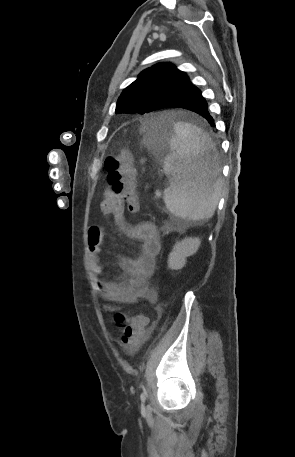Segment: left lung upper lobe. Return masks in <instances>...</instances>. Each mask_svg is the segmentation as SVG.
Wrapping results in <instances>:
<instances>
[{"mask_svg": "<svg viewBox=\"0 0 295 457\" xmlns=\"http://www.w3.org/2000/svg\"><path fill=\"white\" fill-rule=\"evenodd\" d=\"M192 83L185 72L171 63H159L144 71L120 95L116 113L140 114L155 110L156 105Z\"/></svg>", "mask_w": 295, "mask_h": 457, "instance_id": "obj_1", "label": "left lung upper lobe"}]
</instances>
